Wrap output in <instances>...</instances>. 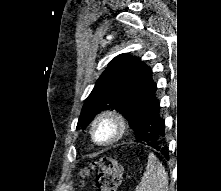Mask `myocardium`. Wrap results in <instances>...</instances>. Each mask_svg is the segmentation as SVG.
<instances>
[{
	"label": "myocardium",
	"mask_w": 221,
	"mask_h": 191,
	"mask_svg": "<svg viewBox=\"0 0 221 191\" xmlns=\"http://www.w3.org/2000/svg\"><path fill=\"white\" fill-rule=\"evenodd\" d=\"M110 122L114 126L113 135L106 141L100 142L96 139L95 133L97 127L104 123ZM127 131V122L124 116L115 110H106L99 113L91 123L90 126V136L92 141L99 146H109L112 145L123 138Z\"/></svg>",
	"instance_id": "f54148a6"
}]
</instances>
